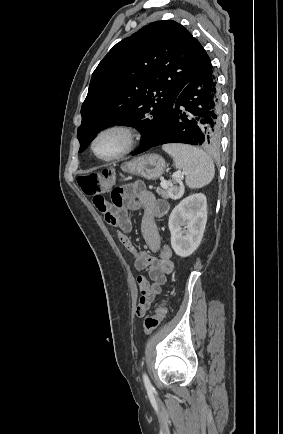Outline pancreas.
Instances as JSON below:
<instances>
[{
  "mask_svg": "<svg viewBox=\"0 0 283 434\" xmlns=\"http://www.w3.org/2000/svg\"><path fill=\"white\" fill-rule=\"evenodd\" d=\"M156 192L158 193V195H161L165 199H169V198L178 199L182 195L183 190L168 185L165 188L162 187V189L158 188ZM173 192L176 194L175 196L172 195Z\"/></svg>",
  "mask_w": 283,
  "mask_h": 434,
  "instance_id": "1",
  "label": "pancreas"
}]
</instances>
